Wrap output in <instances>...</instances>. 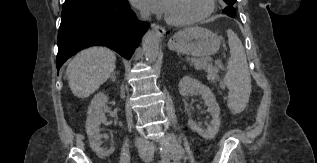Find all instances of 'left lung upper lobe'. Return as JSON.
I'll return each instance as SVG.
<instances>
[{"label": "left lung upper lobe", "mask_w": 317, "mask_h": 163, "mask_svg": "<svg viewBox=\"0 0 317 163\" xmlns=\"http://www.w3.org/2000/svg\"><path fill=\"white\" fill-rule=\"evenodd\" d=\"M228 6L225 7L223 10L224 13H226L230 17L235 16V9L233 7V4L236 2V0H223Z\"/></svg>", "instance_id": "left-lung-upper-lobe-1"}]
</instances>
